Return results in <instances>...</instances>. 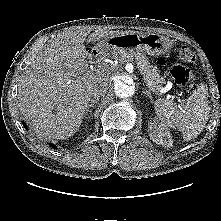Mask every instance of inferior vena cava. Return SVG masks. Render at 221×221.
Returning a JSON list of instances; mask_svg holds the SVG:
<instances>
[{
	"label": "inferior vena cava",
	"instance_id": "inferior-vena-cava-1",
	"mask_svg": "<svg viewBox=\"0 0 221 221\" xmlns=\"http://www.w3.org/2000/svg\"><path fill=\"white\" fill-rule=\"evenodd\" d=\"M106 93V83H100L97 84L93 89H92V95L95 98H99L100 96H103Z\"/></svg>",
	"mask_w": 221,
	"mask_h": 221
}]
</instances>
